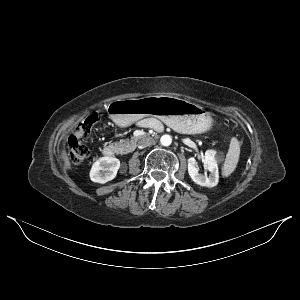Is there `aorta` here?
Instances as JSON below:
<instances>
[{"label": "aorta", "instance_id": "obj_1", "mask_svg": "<svg viewBox=\"0 0 300 300\" xmlns=\"http://www.w3.org/2000/svg\"><path fill=\"white\" fill-rule=\"evenodd\" d=\"M160 143L163 146H169L172 143V137L170 135L165 134L160 138Z\"/></svg>", "mask_w": 300, "mask_h": 300}]
</instances>
